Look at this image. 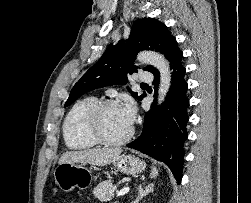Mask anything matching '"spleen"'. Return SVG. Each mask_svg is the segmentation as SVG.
<instances>
[{
    "mask_svg": "<svg viewBox=\"0 0 251 203\" xmlns=\"http://www.w3.org/2000/svg\"><path fill=\"white\" fill-rule=\"evenodd\" d=\"M157 175H158V170L156 167H153L150 177L155 178Z\"/></svg>",
    "mask_w": 251,
    "mask_h": 203,
    "instance_id": "3e777b00",
    "label": "spleen"
}]
</instances>
